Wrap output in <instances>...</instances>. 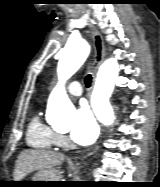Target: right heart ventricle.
<instances>
[{"mask_svg":"<svg viewBox=\"0 0 160 187\" xmlns=\"http://www.w3.org/2000/svg\"><path fill=\"white\" fill-rule=\"evenodd\" d=\"M26 140L30 147L40 150H54L58 146V134L37 116L29 123Z\"/></svg>","mask_w":160,"mask_h":187,"instance_id":"right-heart-ventricle-1","label":"right heart ventricle"}]
</instances>
